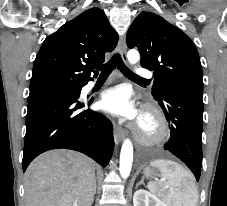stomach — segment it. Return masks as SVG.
<instances>
[{
    "mask_svg": "<svg viewBox=\"0 0 227 206\" xmlns=\"http://www.w3.org/2000/svg\"><path fill=\"white\" fill-rule=\"evenodd\" d=\"M143 175L144 177L148 178V179H152L154 177L157 176V172L155 169L153 168H150V167H146L144 170H143Z\"/></svg>",
    "mask_w": 227,
    "mask_h": 206,
    "instance_id": "obj_1",
    "label": "stomach"
}]
</instances>
